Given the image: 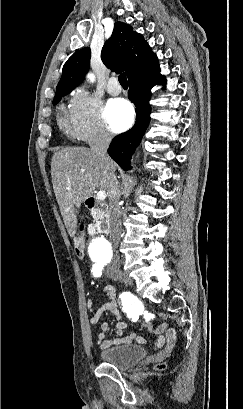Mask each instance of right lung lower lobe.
Wrapping results in <instances>:
<instances>
[{"mask_svg":"<svg viewBox=\"0 0 243 409\" xmlns=\"http://www.w3.org/2000/svg\"><path fill=\"white\" fill-rule=\"evenodd\" d=\"M129 82V99L136 106V123L129 131L116 136L110 146L109 155L124 170L131 169L130 159L150 122L151 107L149 100L154 85H165L166 80L160 74L159 66L151 72L133 78Z\"/></svg>","mask_w":243,"mask_h":409,"instance_id":"1","label":"right lung lower lobe"}]
</instances>
